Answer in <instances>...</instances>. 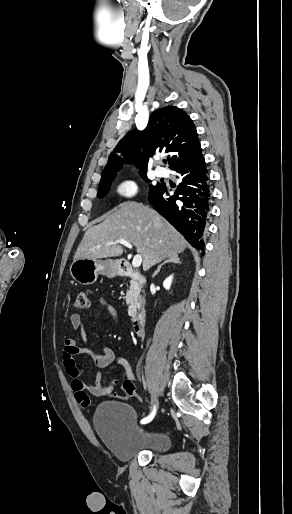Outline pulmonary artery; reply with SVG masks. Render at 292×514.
<instances>
[{"label":"pulmonary artery","mask_w":292,"mask_h":514,"mask_svg":"<svg viewBox=\"0 0 292 514\" xmlns=\"http://www.w3.org/2000/svg\"><path fill=\"white\" fill-rule=\"evenodd\" d=\"M155 174L157 177H165L167 175L163 168L156 169Z\"/></svg>","instance_id":"1"}]
</instances>
